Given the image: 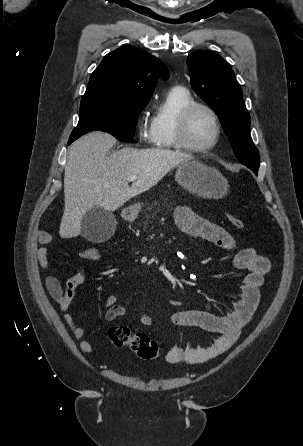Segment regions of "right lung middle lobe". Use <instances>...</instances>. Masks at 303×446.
<instances>
[{"label":"right lung middle lobe","mask_w":303,"mask_h":446,"mask_svg":"<svg viewBox=\"0 0 303 446\" xmlns=\"http://www.w3.org/2000/svg\"><path fill=\"white\" fill-rule=\"evenodd\" d=\"M146 105L91 104L80 106V118L72 131L68 144L90 131H104L118 140L133 139L137 115Z\"/></svg>","instance_id":"obj_1"}]
</instances>
